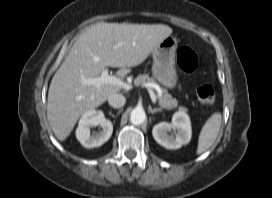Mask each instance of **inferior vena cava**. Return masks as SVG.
Segmentation results:
<instances>
[{"label": "inferior vena cava", "instance_id": "obj_1", "mask_svg": "<svg viewBox=\"0 0 272 198\" xmlns=\"http://www.w3.org/2000/svg\"><path fill=\"white\" fill-rule=\"evenodd\" d=\"M108 102L113 108H120L125 104L126 98L120 93H115L108 97Z\"/></svg>", "mask_w": 272, "mask_h": 198}]
</instances>
